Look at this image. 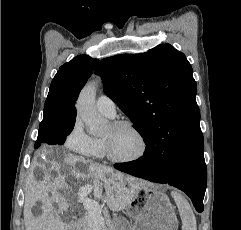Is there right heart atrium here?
I'll use <instances>...</instances> for the list:
<instances>
[{"label":"right heart atrium","mask_w":241,"mask_h":230,"mask_svg":"<svg viewBox=\"0 0 241 230\" xmlns=\"http://www.w3.org/2000/svg\"><path fill=\"white\" fill-rule=\"evenodd\" d=\"M65 146L74 153L91 156L95 149V140L84 130L83 125L76 121L66 137Z\"/></svg>","instance_id":"obj_1"}]
</instances>
